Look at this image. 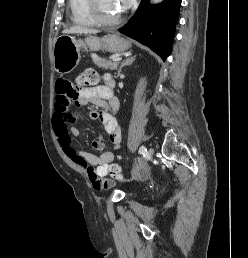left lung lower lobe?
I'll return each mask as SVG.
<instances>
[{
  "instance_id": "1",
  "label": "left lung lower lobe",
  "mask_w": 248,
  "mask_h": 258,
  "mask_svg": "<svg viewBox=\"0 0 248 258\" xmlns=\"http://www.w3.org/2000/svg\"><path fill=\"white\" fill-rule=\"evenodd\" d=\"M181 0L151 5L142 0L135 15L119 31L147 46L164 60L169 56Z\"/></svg>"
}]
</instances>
